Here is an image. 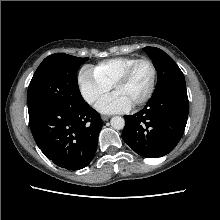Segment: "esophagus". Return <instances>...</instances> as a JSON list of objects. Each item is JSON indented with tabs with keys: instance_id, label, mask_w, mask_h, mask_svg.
<instances>
[{
	"instance_id": "34e87169",
	"label": "esophagus",
	"mask_w": 220,
	"mask_h": 220,
	"mask_svg": "<svg viewBox=\"0 0 220 220\" xmlns=\"http://www.w3.org/2000/svg\"><path fill=\"white\" fill-rule=\"evenodd\" d=\"M109 118H110V116H107V115H103V116L101 117V119H102L103 121H107Z\"/></svg>"
}]
</instances>
